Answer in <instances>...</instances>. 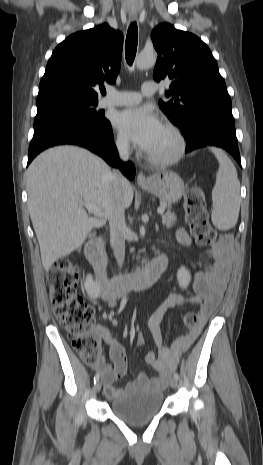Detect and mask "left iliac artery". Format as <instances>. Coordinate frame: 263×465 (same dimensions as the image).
Returning a JSON list of instances; mask_svg holds the SVG:
<instances>
[{
    "label": "left iliac artery",
    "instance_id": "44dca946",
    "mask_svg": "<svg viewBox=\"0 0 263 465\" xmlns=\"http://www.w3.org/2000/svg\"><path fill=\"white\" fill-rule=\"evenodd\" d=\"M174 378H176L177 380L179 379V374L178 373H174Z\"/></svg>",
    "mask_w": 263,
    "mask_h": 465
}]
</instances>
